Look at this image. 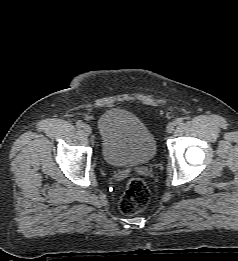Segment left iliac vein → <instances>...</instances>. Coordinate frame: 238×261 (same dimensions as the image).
<instances>
[{"mask_svg":"<svg viewBox=\"0 0 238 261\" xmlns=\"http://www.w3.org/2000/svg\"><path fill=\"white\" fill-rule=\"evenodd\" d=\"M175 127H176V123L175 122L169 123L167 125V127H166V132L167 133H172L174 131Z\"/></svg>","mask_w":238,"mask_h":261,"instance_id":"obj_1","label":"left iliac vein"}]
</instances>
